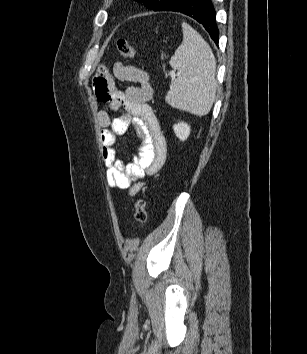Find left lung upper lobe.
Here are the masks:
<instances>
[{
  "label": "left lung upper lobe",
  "mask_w": 307,
  "mask_h": 354,
  "mask_svg": "<svg viewBox=\"0 0 307 354\" xmlns=\"http://www.w3.org/2000/svg\"><path fill=\"white\" fill-rule=\"evenodd\" d=\"M136 1L143 2L147 8L153 9L154 11H158L160 8L166 5L169 0H136Z\"/></svg>",
  "instance_id": "left-lung-upper-lobe-1"
}]
</instances>
